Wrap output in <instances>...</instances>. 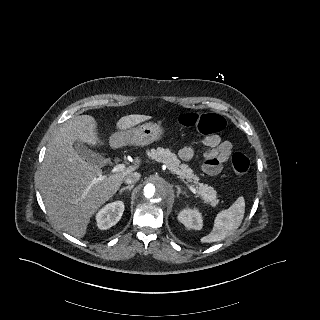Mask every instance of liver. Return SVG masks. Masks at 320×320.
I'll list each match as a JSON object with an SVG mask.
<instances>
[{
	"mask_svg": "<svg viewBox=\"0 0 320 320\" xmlns=\"http://www.w3.org/2000/svg\"><path fill=\"white\" fill-rule=\"evenodd\" d=\"M151 119L131 114L116 123V144L124 140L126 131ZM75 141L93 147L102 143L98 122L90 115H79L66 121L55 133L46 150L42 165L40 191L51 219L67 233L82 238L90 218L120 188L124 177L138 169L141 160L122 172L103 175L96 165L83 160L74 150Z\"/></svg>",
	"mask_w": 320,
	"mask_h": 320,
	"instance_id": "obj_1",
	"label": "liver"
}]
</instances>
